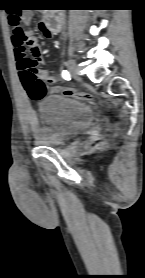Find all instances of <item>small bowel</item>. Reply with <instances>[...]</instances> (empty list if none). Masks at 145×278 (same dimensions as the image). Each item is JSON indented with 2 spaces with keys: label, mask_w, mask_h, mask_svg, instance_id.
Returning <instances> with one entry per match:
<instances>
[{
  "label": "small bowel",
  "mask_w": 145,
  "mask_h": 278,
  "mask_svg": "<svg viewBox=\"0 0 145 278\" xmlns=\"http://www.w3.org/2000/svg\"><path fill=\"white\" fill-rule=\"evenodd\" d=\"M21 17L25 23H29L32 19V13L29 10H24ZM39 30L48 38L52 37L54 34L46 28L43 23L39 24ZM30 37L31 43L27 46H22L19 41L13 37L18 79L26 95L32 100H39L50 91L51 93H62L72 98H79L74 95H67L64 93V90L58 88H52L50 90L47 88V83H53L56 78L50 71L37 72V65L43 61V56L38 40L35 37ZM22 50L24 54L19 55V52ZM28 52L31 54V57L27 56ZM31 93H33V95ZM28 123L31 129L37 128L38 123L35 115L32 114L30 116Z\"/></svg>",
  "instance_id": "1"
}]
</instances>
